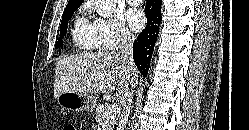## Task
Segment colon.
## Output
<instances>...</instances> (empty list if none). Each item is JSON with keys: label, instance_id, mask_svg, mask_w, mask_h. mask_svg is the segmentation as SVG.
Listing matches in <instances>:
<instances>
[{"label": "colon", "instance_id": "obj_1", "mask_svg": "<svg viewBox=\"0 0 249 130\" xmlns=\"http://www.w3.org/2000/svg\"><path fill=\"white\" fill-rule=\"evenodd\" d=\"M62 130H77L75 125L72 123H66L63 127Z\"/></svg>", "mask_w": 249, "mask_h": 130}]
</instances>
